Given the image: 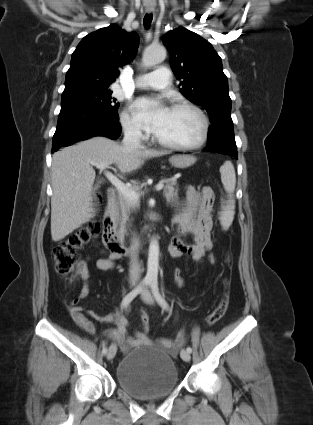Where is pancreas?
Masks as SVG:
<instances>
[{"label": "pancreas", "mask_w": 313, "mask_h": 425, "mask_svg": "<svg viewBox=\"0 0 313 425\" xmlns=\"http://www.w3.org/2000/svg\"><path fill=\"white\" fill-rule=\"evenodd\" d=\"M162 183H165L166 186L163 190V195L165 196L167 202H174L178 199V190L175 188L177 185L176 179H163L161 181ZM146 183L133 185L130 187L133 191H140L143 186H145ZM116 213H117V223L119 226V232L122 234H126V224L127 221H129V215L132 210H135L136 208H139V202L136 201H130L126 197H124L121 193L118 192V197L116 201Z\"/></svg>", "instance_id": "obj_1"}]
</instances>
